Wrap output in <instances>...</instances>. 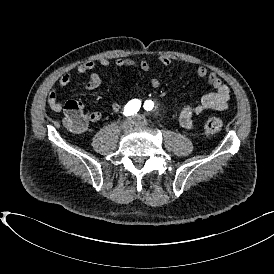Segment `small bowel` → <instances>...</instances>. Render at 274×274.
Here are the masks:
<instances>
[{
	"mask_svg": "<svg viewBox=\"0 0 274 274\" xmlns=\"http://www.w3.org/2000/svg\"><path fill=\"white\" fill-rule=\"evenodd\" d=\"M159 61L164 66L172 64L171 58L166 55H161ZM98 65L107 68L112 65V62L107 58H100L98 61H85L76 68L75 73L77 75L90 72L88 81L83 85L85 90L92 91L102 85L101 76L94 71ZM114 65L119 68L137 67L142 71H149L151 68V64L147 59L135 61L129 58H117L114 61ZM196 73L199 78L207 80L208 85L213 88V91L204 95L199 102L194 104L178 105L177 103L172 102V107L178 114L181 126L189 130L194 127V116L211 110H224L227 108L230 99L229 87L223 83L222 79L215 72H210L206 66L200 65L198 66ZM71 78L70 73L62 75L59 79V87H66L71 82ZM149 84L153 88L160 87V81L157 78H151ZM48 103L50 108L55 112H60L63 109V105L57 100V94L54 89L48 94ZM122 109L123 106L120 103L115 102L111 104V110L113 112H121ZM88 116L89 121L87 123L86 131L89 130L91 125L98 123L102 119V114L99 111H92L88 113Z\"/></svg>",
	"mask_w": 274,
	"mask_h": 274,
	"instance_id": "obj_1",
	"label": "small bowel"
}]
</instances>
